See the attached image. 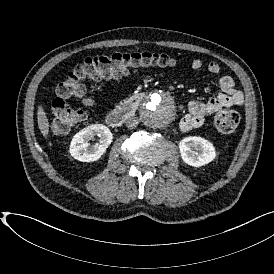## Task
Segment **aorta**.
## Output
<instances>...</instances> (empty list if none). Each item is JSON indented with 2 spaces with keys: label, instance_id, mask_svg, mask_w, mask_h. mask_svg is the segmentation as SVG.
Returning <instances> with one entry per match:
<instances>
[{
  "label": "aorta",
  "instance_id": "obj_1",
  "mask_svg": "<svg viewBox=\"0 0 274 274\" xmlns=\"http://www.w3.org/2000/svg\"><path fill=\"white\" fill-rule=\"evenodd\" d=\"M176 114L172 96L169 93H153L141 111L142 120L152 128H163L170 124Z\"/></svg>",
  "mask_w": 274,
  "mask_h": 274
}]
</instances>
